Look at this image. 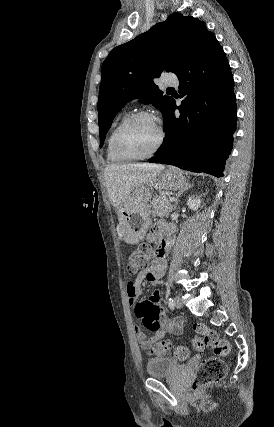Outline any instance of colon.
Segmentation results:
<instances>
[{
    "label": "colon",
    "instance_id": "1",
    "mask_svg": "<svg viewBox=\"0 0 274 427\" xmlns=\"http://www.w3.org/2000/svg\"><path fill=\"white\" fill-rule=\"evenodd\" d=\"M152 256H156V251L149 245L144 244L133 251L127 260V271L130 274L139 272L150 261ZM158 292V291H156ZM195 332V344L199 348H209L217 356H227L230 353L229 343L222 339L215 330L203 325L193 326ZM152 355L163 358L170 352L175 358L185 360L189 358L190 352L186 346L176 345L170 341H157L156 347L152 348ZM227 374V366L219 358H207L203 360L196 369L194 379L191 381V388L195 394H200L201 389L210 384L221 382Z\"/></svg>",
    "mask_w": 274,
    "mask_h": 427
}]
</instances>
